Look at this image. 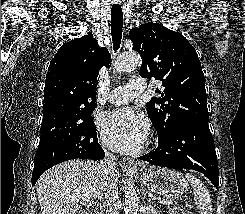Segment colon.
Segmentation results:
<instances>
[{"label":"colon","instance_id":"5ec220e1","mask_svg":"<svg viewBox=\"0 0 245 214\" xmlns=\"http://www.w3.org/2000/svg\"><path fill=\"white\" fill-rule=\"evenodd\" d=\"M79 214H83V213H79ZM176 214H193V213L183 207H180L177 209Z\"/></svg>","mask_w":245,"mask_h":214}]
</instances>
